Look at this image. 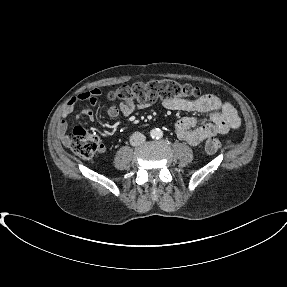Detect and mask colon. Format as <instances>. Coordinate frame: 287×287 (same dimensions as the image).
Instances as JSON below:
<instances>
[{
    "label": "colon",
    "instance_id": "obj_1",
    "mask_svg": "<svg viewBox=\"0 0 287 287\" xmlns=\"http://www.w3.org/2000/svg\"><path fill=\"white\" fill-rule=\"evenodd\" d=\"M109 97L128 105H143L159 99L167 101L182 98L194 101L202 97V91L199 87L189 84H182L173 80H159L123 86L112 92ZM69 146L76 156L89 160L100 150L101 141L95 133L78 126L72 131ZM222 146L223 141L221 139L210 138L205 144V150L208 153H214Z\"/></svg>",
    "mask_w": 287,
    "mask_h": 287
}]
</instances>
